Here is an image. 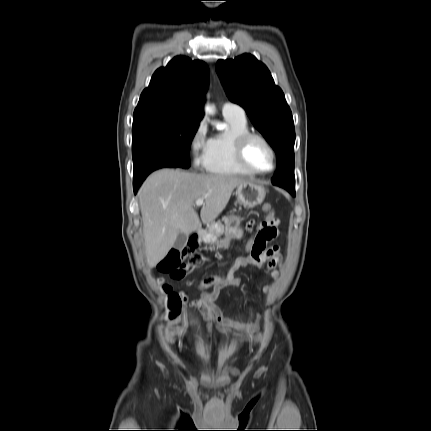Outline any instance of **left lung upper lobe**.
I'll use <instances>...</instances> for the list:
<instances>
[{
    "label": "left lung upper lobe",
    "mask_w": 431,
    "mask_h": 431,
    "mask_svg": "<svg viewBox=\"0 0 431 431\" xmlns=\"http://www.w3.org/2000/svg\"><path fill=\"white\" fill-rule=\"evenodd\" d=\"M216 70L228 98L245 109L253 125L276 152L278 171L272 183L294 190L293 118L284 94L274 84L269 70L250 54L234 60H220Z\"/></svg>",
    "instance_id": "obj_1"
}]
</instances>
